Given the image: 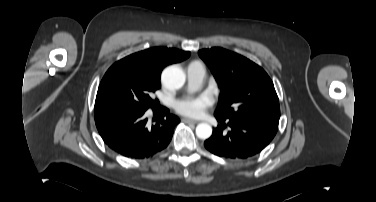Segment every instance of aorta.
Masks as SVG:
<instances>
[{
    "mask_svg": "<svg viewBox=\"0 0 376 202\" xmlns=\"http://www.w3.org/2000/svg\"><path fill=\"white\" fill-rule=\"evenodd\" d=\"M162 82L166 88L176 90L181 88L186 80L184 71L178 66H169L165 68L161 76ZM212 134V127L207 123H200L196 127V135L200 139H208Z\"/></svg>",
    "mask_w": 376,
    "mask_h": 202,
    "instance_id": "aorta-1",
    "label": "aorta"
}]
</instances>
